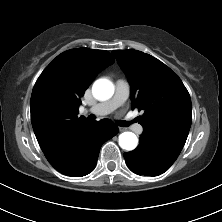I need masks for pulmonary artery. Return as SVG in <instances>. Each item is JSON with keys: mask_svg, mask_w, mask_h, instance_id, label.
<instances>
[{"mask_svg": "<svg viewBox=\"0 0 222 222\" xmlns=\"http://www.w3.org/2000/svg\"><path fill=\"white\" fill-rule=\"evenodd\" d=\"M130 94V85L124 79H119L115 85V93L114 96L105 102L98 103L90 108L84 110V113H92L95 115H106L114 111L116 108L121 106L129 97ZM134 130L137 133H141L143 131V127L141 125H135Z\"/></svg>", "mask_w": 222, "mask_h": 222, "instance_id": "pulmonary-artery-1", "label": "pulmonary artery"}]
</instances>
